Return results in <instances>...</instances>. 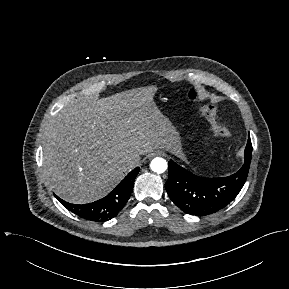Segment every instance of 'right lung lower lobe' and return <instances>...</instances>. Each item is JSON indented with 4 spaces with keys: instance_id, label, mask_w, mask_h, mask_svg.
Wrapping results in <instances>:
<instances>
[{
    "instance_id": "98d812e1",
    "label": "right lung lower lobe",
    "mask_w": 289,
    "mask_h": 289,
    "mask_svg": "<svg viewBox=\"0 0 289 289\" xmlns=\"http://www.w3.org/2000/svg\"><path fill=\"white\" fill-rule=\"evenodd\" d=\"M139 168H135L131 171L120 184L106 197L95 201L93 203L84 205H74L63 201L59 197L56 198L70 211L76 213L80 217L93 220V221H103L108 220L114 215H116L128 201L134 180L139 173Z\"/></svg>"
}]
</instances>
